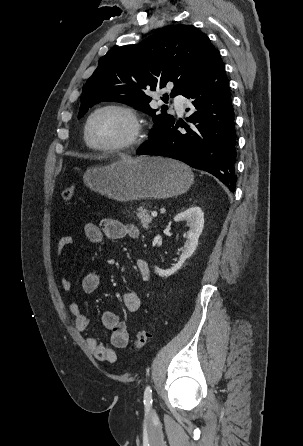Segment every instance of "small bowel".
<instances>
[{
  "mask_svg": "<svg viewBox=\"0 0 303 446\" xmlns=\"http://www.w3.org/2000/svg\"><path fill=\"white\" fill-rule=\"evenodd\" d=\"M84 233L87 240L93 244L101 243L105 238L118 241L125 237L136 238L139 234L138 229L131 224H126L122 221L113 218H106L101 221L99 225L94 223H87L84 226ZM74 239L71 236L61 237L56 244V254L60 256L63 251L71 246ZM135 267L139 276L143 280H148L150 277V268L146 260L138 258L135 261ZM62 286L66 291L72 288L71 281L63 277ZM100 286V276L96 271L88 272L84 275L81 281L82 290L85 293H93ZM122 301L125 309L130 313H135L140 309L141 301L135 291H126L122 295ZM71 314L74 317L76 327L79 331H86L89 327V320L79 304L72 302L69 305ZM102 324L110 331V342L113 347L103 345L95 336L89 335L86 338L88 348L93 355L100 361L113 363L117 359L115 349L125 348L129 341V333L126 325L120 320L119 316L112 311H105L102 314Z\"/></svg>",
  "mask_w": 303,
  "mask_h": 446,
  "instance_id": "small-bowel-1",
  "label": "small bowel"
}]
</instances>
